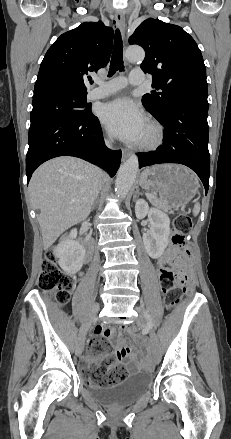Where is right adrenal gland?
Wrapping results in <instances>:
<instances>
[{
	"instance_id": "2a0ac1e0",
	"label": "right adrenal gland",
	"mask_w": 231,
	"mask_h": 439,
	"mask_svg": "<svg viewBox=\"0 0 231 439\" xmlns=\"http://www.w3.org/2000/svg\"><path fill=\"white\" fill-rule=\"evenodd\" d=\"M97 200H98V197H97V199L95 200V202L93 203L92 210L94 209V206H95V204L97 203Z\"/></svg>"
}]
</instances>
